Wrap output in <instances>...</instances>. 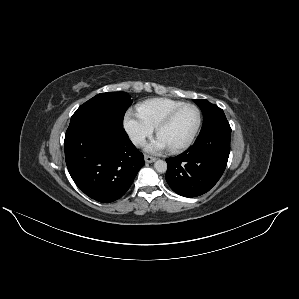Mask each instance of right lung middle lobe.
<instances>
[{"instance_id":"1","label":"right lung middle lobe","mask_w":299,"mask_h":299,"mask_svg":"<svg viewBox=\"0 0 299 299\" xmlns=\"http://www.w3.org/2000/svg\"><path fill=\"white\" fill-rule=\"evenodd\" d=\"M126 92L101 93L82 104L71 117L70 123L81 121H106L116 128H123L126 110L132 104Z\"/></svg>"}]
</instances>
